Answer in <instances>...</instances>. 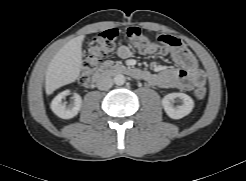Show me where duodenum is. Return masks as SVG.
<instances>
[{
    "label": "duodenum",
    "mask_w": 246,
    "mask_h": 181,
    "mask_svg": "<svg viewBox=\"0 0 246 181\" xmlns=\"http://www.w3.org/2000/svg\"><path fill=\"white\" fill-rule=\"evenodd\" d=\"M109 74H124L135 79L143 77V71L116 63L106 62L95 71L92 76V83H101Z\"/></svg>",
    "instance_id": "obj_1"
}]
</instances>
